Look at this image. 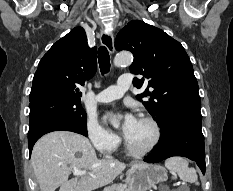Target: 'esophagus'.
<instances>
[{"label":"esophagus","mask_w":233,"mask_h":191,"mask_svg":"<svg viewBox=\"0 0 233 191\" xmlns=\"http://www.w3.org/2000/svg\"><path fill=\"white\" fill-rule=\"evenodd\" d=\"M100 42L107 48L109 53H114V38L112 33L106 27L101 31Z\"/></svg>","instance_id":"34e87169"}]
</instances>
